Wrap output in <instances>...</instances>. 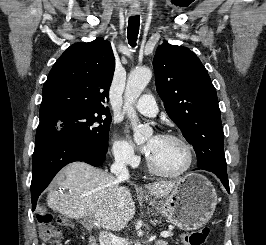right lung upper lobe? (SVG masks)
<instances>
[{
	"instance_id": "1",
	"label": "right lung upper lobe",
	"mask_w": 266,
	"mask_h": 245,
	"mask_svg": "<svg viewBox=\"0 0 266 245\" xmlns=\"http://www.w3.org/2000/svg\"><path fill=\"white\" fill-rule=\"evenodd\" d=\"M114 69L109 41L99 38L71 45L53 65L44 83L40 120L69 110L104 109Z\"/></svg>"
}]
</instances>
